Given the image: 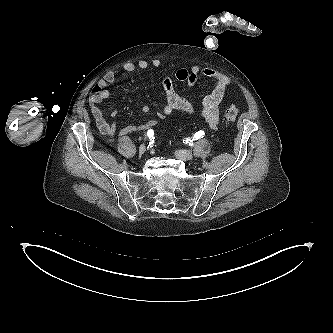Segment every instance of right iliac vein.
<instances>
[{
	"label": "right iliac vein",
	"instance_id": "right-iliac-vein-1",
	"mask_svg": "<svg viewBox=\"0 0 333 333\" xmlns=\"http://www.w3.org/2000/svg\"><path fill=\"white\" fill-rule=\"evenodd\" d=\"M145 151H146V147H145V145H141V146L139 147V153H140V154H143V153H145Z\"/></svg>",
	"mask_w": 333,
	"mask_h": 333
}]
</instances>
